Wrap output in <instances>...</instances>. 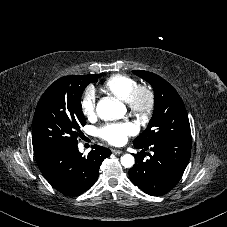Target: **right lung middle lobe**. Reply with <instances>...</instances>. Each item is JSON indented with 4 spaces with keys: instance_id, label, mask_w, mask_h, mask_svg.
Instances as JSON below:
<instances>
[{
    "instance_id": "right-lung-middle-lobe-1",
    "label": "right lung middle lobe",
    "mask_w": 227,
    "mask_h": 227,
    "mask_svg": "<svg viewBox=\"0 0 227 227\" xmlns=\"http://www.w3.org/2000/svg\"><path fill=\"white\" fill-rule=\"evenodd\" d=\"M101 75L62 77L44 92L32 124L34 153L57 145L78 143L80 128L86 124L81 108L85 87Z\"/></svg>"
}]
</instances>
